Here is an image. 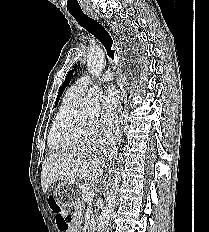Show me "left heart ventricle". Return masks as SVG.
<instances>
[{
	"label": "left heart ventricle",
	"mask_w": 209,
	"mask_h": 232,
	"mask_svg": "<svg viewBox=\"0 0 209 232\" xmlns=\"http://www.w3.org/2000/svg\"><path fill=\"white\" fill-rule=\"evenodd\" d=\"M88 118L94 119L95 114L93 113H86L85 114Z\"/></svg>",
	"instance_id": "b2bd125f"
}]
</instances>
